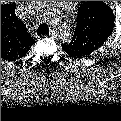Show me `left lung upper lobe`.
I'll return each mask as SVG.
<instances>
[{"instance_id": "1", "label": "left lung upper lobe", "mask_w": 121, "mask_h": 121, "mask_svg": "<svg viewBox=\"0 0 121 121\" xmlns=\"http://www.w3.org/2000/svg\"><path fill=\"white\" fill-rule=\"evenodd\" d=\"M114 21V14L105 3L83 2L78 9L72 42L69 45H62L63 50L75 58L91 54L110 37Z\"/></svg>"}]
</instances>
